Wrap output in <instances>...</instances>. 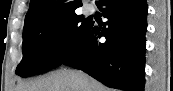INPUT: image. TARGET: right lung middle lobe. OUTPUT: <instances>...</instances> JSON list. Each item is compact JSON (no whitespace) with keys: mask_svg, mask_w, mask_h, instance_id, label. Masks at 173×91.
<instances>
[{"mask_svg":"<svg viewBox=\"0 0 173 91\" xmlns=\"http://www.w3.org/2000/svg\"><path fill=\"white\" fill-rule=\"evenodd\" d=\"M90 22L76 13L23 29V58L16 74L29 77L58 67L88 31Z\"/></svg>","mask_w":173,"mask_h":91,"instance_id":"obj_1","label":"right lung middle lobe"}]
</instances>
